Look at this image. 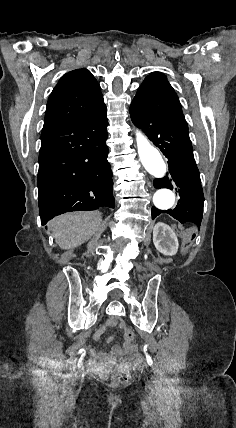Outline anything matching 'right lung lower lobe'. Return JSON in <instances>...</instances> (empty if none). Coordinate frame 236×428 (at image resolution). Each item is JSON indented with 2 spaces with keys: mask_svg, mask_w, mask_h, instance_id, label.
I'll list each match as a JSON object with an SVG mask.
<instances>
[{
  "mask_svg": "<svg viewBox=\"0 0 236 428\" xmlns=\"http://www.w3.org/2000/svg\"><path fill=\"white\" fill-rule=\"evenodd\" d=\"M107 126L105 110L42 130L37 181L42 225L70 211L115 207Z\"/></svg>",
  "mask_w": 236,
  "mask_h": 428,
  "instance_id": "1",
  "label": "right lung lower lobe"
}]
</instances>
